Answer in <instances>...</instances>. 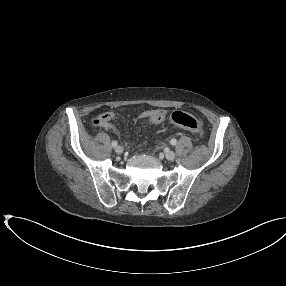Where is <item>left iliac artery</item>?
Segmentation results:
<instances>
[{
	"label": "left iliac artery",
	"instance_id": "obj_1",
	"mask_svg": "<svg viewBox=\"0 0 286 286\" xmlns=\"http://www.w3.org/2000/svg\"><path fill=\"white\" fill-rule=\"evenodd\" d=\"M170 143H171V145H176L177 144V140L176 139H171Z\"/></svg>",
	"mask_w": 286,
	"mask_h": 286
}]
</instances>
